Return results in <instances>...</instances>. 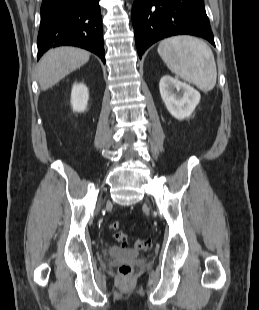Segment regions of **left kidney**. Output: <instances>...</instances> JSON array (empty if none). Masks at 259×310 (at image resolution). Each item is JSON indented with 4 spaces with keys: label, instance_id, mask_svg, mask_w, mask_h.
Listing matches in <instances>:
<instances>
[{
    "label": "left kidney",
    "instance_id": "left-kidney-1",
    "mask_svg": "<svg viewBox=\"0 0 259 310\" xmlns=\"http://www.w3.org/2000/svg\"><path fill=\"white\" fill-rule=\"evenodd\" d=\"M159 90L167 110L178 120L189 117L201 99L197 90L170 75L161 78Z\"/></svg>",
    "mask_w": 259,
    "mask_h": 310
}]
</instances>
